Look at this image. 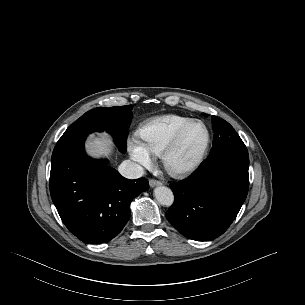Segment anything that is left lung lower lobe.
Masks as SVG:
<instances>
[{
	"label": "left lung lower lobe",
	"mask_w": 305,
	"mask_h": 305,
	"mask_svg": "<svg viewBox=\"0 0 305 305\" xmlns=\"http://www.w3.org/2000/svg\"><path fill=\"white\" fill-rule=\"evenodd\" d=\"M248 152L231 151L208 158L189 178L170 185L173 205L168 221L198 241L223 234L236 218L249 188Z\"/></svg>",
	"instance_id": "1"
}]
</instances>
